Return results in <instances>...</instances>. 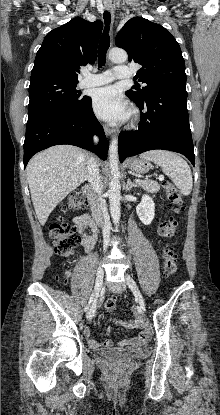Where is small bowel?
<instances>
[{"instance_id": "c3829d8e", "label": "small bowel", "mask_w": 220, "mask_h": 415, "mask_svg": "<svg viewBox=\"0 0 220 415\" xmlns=\"http://www.w3.org/2000/svg\"><path fill=\"white\" fill-rule=\"evenodd\" d=\"M73 222L79 234L81 245L84 247L86 252L88 253L92 252L93 249L95 248L97 238H98L96 224L90 218V216L86 213L76 216ZM138 327H142V325H139ZM83 334L89 346L92 348H98L102 351H105V350L110 349L113 345L110 339L102 343H99L97 340L94 339L92 332L88 327L84 328ZM141 335L132 340L122 339L118 341L117 345L119 347L141 346L144 344L146 340V339H143Z\"/></svg>"}]
</instances>
